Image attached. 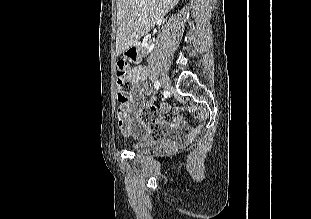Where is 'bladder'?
<instances>
[{
	"label": "bladder",
	"mask_w": 311,
	"mask_h": 219,
	"mask_svg": "<svg viewBox=\"0 0 311 219\" xmlns=\"http://www.w3.org/2000/svg\"><path fill=\"white\" fill-rule=\"evenodd\" d=\"M132 149L135 152H148L152 149V143L151 142H136L132 145Z\"/></svg>",
	"instance_id": "1"
}]
</instances>
